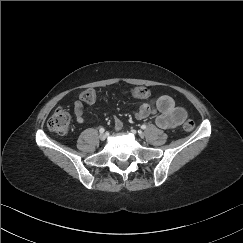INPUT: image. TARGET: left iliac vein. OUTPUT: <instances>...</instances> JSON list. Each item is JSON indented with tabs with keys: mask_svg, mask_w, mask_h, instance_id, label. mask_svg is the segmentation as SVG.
Here are the masks:
<instances>
[{
	"mask_svg": "<svg viewBox=\"0 0 243 243\" xmlns=\"http://www.w3.org/2000/svg\"><path fill=\"white\" fill-rule=\"evenodd\" d=\"M139 136H140V137H144V133H143V132H140V133H139Z\"/></svg>",
	"mask_w": 243,
	"mask_h": 243,
	"instance_id": "4c4485c4",
	"label": "left iliac vein"
}]
</instances>
